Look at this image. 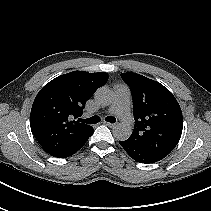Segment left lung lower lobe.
Returning <instances> with one entry per match:
<instances>
[{"instance_id":"0a47b994","label":"left lung lower lobe","mask_w":211,"mask_h":211,"mask_svg":"<svg viewBox=\"0 0 211 211\" xmlns=\"http://www.w3.org/2000/svg\"><path fill=\"white\" fill-rule=\"evenodd\" d=\"M119 143L124 148V150L137 162L154 163L162 159L144 149L132 145L127 140L119 141Z\"/></svg>"}]
</instances>
